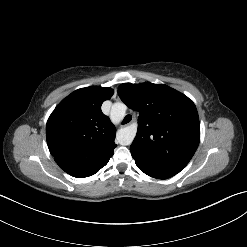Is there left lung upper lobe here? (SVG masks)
<instances>
[{"instance_id":"1","label":"left lung upper lobe","mask_w":247,"mask_h":247,"mask_svg":"<svg viewBox=\"0 0 247 247\" xmlns=\"http://www.w3.org/2000/svg\"><path fill=\"white\" fill-rule=\"evenodd\" d=\"M121 100L139 112L138 131L131 153L164 170L179 173L194 155L200 141V124L194 103L163 84L124 83Z\"/></svg>"}]
</instances>
